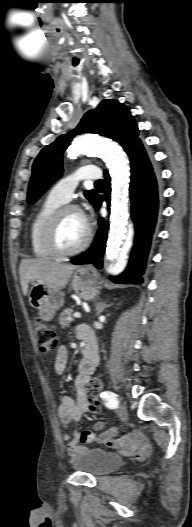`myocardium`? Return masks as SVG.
<instances>
[{
  "mask_svg": "<svg viewBox=\"0 0 192 527\" xmlns=\"http://www.w3.org/2000/svg\"><path fill=\"white\" fill-rule=\"evenodd\" d=\"M68 212H76L82 215L79 208L74 205H62L60 206L48 220L45 231H44V243L49 252L56 257H70L79 254L85 250L92 240V228L89 223L87 225V231L82 242L72 249H63L57 242V232L62 217Z\"/></svg>",
  "mask_w": 192,
  "mask_h": 527,
  "instance_id": "obj_1",
  "label": "myocardium"
}]
</instances>
